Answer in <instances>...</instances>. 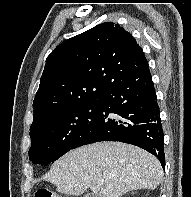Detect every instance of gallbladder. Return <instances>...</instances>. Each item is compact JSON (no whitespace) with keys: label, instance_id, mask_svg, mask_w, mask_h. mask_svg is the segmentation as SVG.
Listing matches in <instances>:
<instances>
[{"label":"gallbladder","instance_id":"obj_1","mask_svg":"<svg viewBox=\"0 0 191 197\" xmlns=\"http://www.w3.org/2000/svg\"><path fill=\"white\" fill-rule=\"evenodd\" d=\"M84 197H97L96 195L92 194V193H88L86 194Z\"/></svg>","mask_w":191,"mask_h":197}]
</instances>
